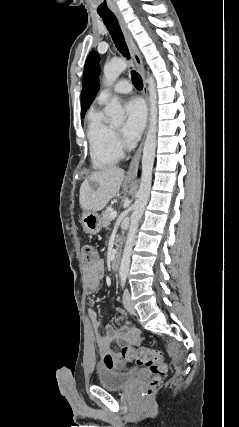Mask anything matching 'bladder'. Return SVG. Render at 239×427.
<instances>
[{
  "label": "bladder",
  "mask_w": 239,
  "mask_h": 427,
  "mask_svg": "<svg viewBox=\"0 0 239 427\" xmlns=\"http://www.w3.org/2000/svg\"><path fill=\"white\" fill-rule=\"evenodd\" d=\"M139 376L137 369L125 371L99 368L97 379L100 386L111 390H125L131 387Z\"/></svg>",
  "instance_id": "1"
}]
</instances>
